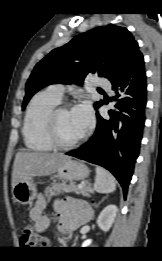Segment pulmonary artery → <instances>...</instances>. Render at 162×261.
Here are the masks:
<instances>
[{
  "label": "pulmonary artery",
  "instance_id": "pulmonary-artery-1",
  "mask_svg": "<svg viewBox=\"0 0 162 261\" xmlns=\"http://www.w3.org/2000/svg\"><path fill=\"white\" fill-rule=\"evenodd\" d=\"M96 85L105 91L111 90V83L107 79L97 78ZM48 90L55 94L56 96L62 98L64 94V86L62 84H53L48 87Z\"/></svg>",
  "mask_w": 162,
  "mask_h": 261
}]
</instances>
